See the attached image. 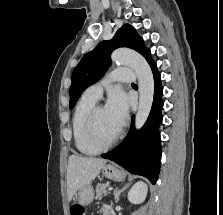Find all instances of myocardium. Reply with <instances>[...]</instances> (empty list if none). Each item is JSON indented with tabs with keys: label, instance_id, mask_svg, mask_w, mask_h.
<instances>
[{
	"label": "myocardium",
	"instance_id": "f54148a6",
	"mask_svg": "<svg viewBox=\"0 0 223 215\" xmlns=\"http://www.w3.org/2000/svg\"><path fill=\"white\" fill-rule=\"evenodd\" d=\"M104 107L102 105H95L93 109L91 110L87 125H86V136L89 144L97 151V152H103L106 150H109L116 146V144L119 142L121 138V129L119 128L117 134L115 137L107 144H102L98 137H97V131H96V120L98 112L103 109Z\"/></svg>",
	"mask_w": 223,
	"mask_h": 215
}]
</instances>
